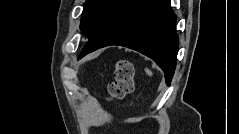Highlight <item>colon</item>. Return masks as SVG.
<instances>
[{
	"mask_svg": "<svg viewBox=\"0 0 239 134\" xmlns=\"http://www.w3.org/2000/svg\"><path fill=\"white\" fill-rule=\"evenodd\" d=\"M134 67L128 60L122 59L115 64L114 80L108 86L110 100H120L133 91Z\"/></svg>",
	"mask_w": 239,
	"mask_h": 134,
	"instance_id": "colon-1",
	"label": "colon"
}]
</instances>
